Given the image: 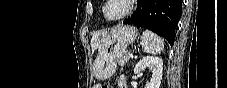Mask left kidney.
<instances>
[{
	"label": "left kidney",
	"mask_w": 227,
	"mask_h": 88,
	"mask_svg": "<svg viewBox=\"0 0 227 88\" xmlns=\"http://www.w3.org/2000/svg\"><path fill=\"white\" fill-rule=\"evenodd\" d=\"M149 68L153 70L150 82L146 83L145 88H159L162 80L163 61L159 57L147 56L140 60L134 68V73L138 74L141 71Z\"/></svg>",
	"instance_id": "left-kidney-1"
}]
</instances>
